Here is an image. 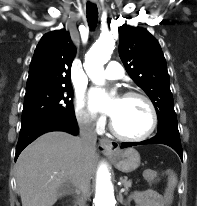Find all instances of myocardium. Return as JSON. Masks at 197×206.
I'll list each match as a JSON object with an SVG mask.
<instances>
[{
  "label": "myocardium",
  "instance_id": "1",
  "mask_svg": "<svg viewBox=\"0 0 197 206\" xmlns=\"http://www.w3.org/2000/svg\"><path fill=\"white\" fill-rule=\"evenodd\" d=\"M131 97H135V98H139L143 100L148 106L150 114H151V123H150L148 130L145 133L138 135V136L127 135V134L120 132L117 129L112 118L110 120L109 127H110L111 132L119 139L128 140V141H143L149 138L157 128V125H158L157 110L152 100L147 95L141 92L127 91L122 95V98H131Z\"/></svg>",
  "mask_w": 197,
  "mask_h": 206
}]
</instances>
